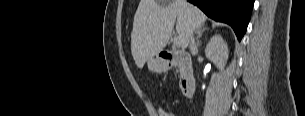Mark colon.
I'll return each instance as SVG.
<instances>
[{
  "label": "colon",
  "instance_id": "5ec220e1",
  "mask_svg": "<svg viewBox=\"0 0 305 116\" xmlns=\"http://www.w3.org/2000/svg\"><path fill=\"white\" fill-rule=\"evenodd\" d=\"M152 107H153V111L155 113L154 116H173V114L166 110L165 108H163L157 101L153 100L152 101Z\"/></svg>",
  "mask_w": 305,
  "mask_h": 116
}]
</instances>
